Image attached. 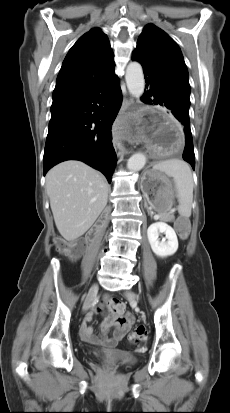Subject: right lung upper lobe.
I'll use <instances>...</instances> for the list:
<instances>
[{"instance_id": "right-lung-upper-lobe-1", "label": "right lung upper lobe", "mask_w": 230, "mask_h": 413, "mask_svg": "<svg viewBox=\"0 0 230 413\" xmlns=\"http://www.w3.org/2000/svg\"><path fill=\"white\" fill-rule=\"evenodd\" d=\"M114 55L107 36L93 28L69 50L57 77L53 99L81 93L108 80L114 73Z\"/></svg>"}]
</instances>
